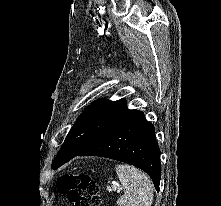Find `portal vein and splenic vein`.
<instances>
[{
	"mask_svg": "<svg viewBox=\"0 0 221 206\" xmlns=\"http://www.w3.org/2000/svg\"><path fill=\"white\" fill-rule=\"evenodd\" d=\"M121 189L119 187H117L116 185H112V189L111 191H120Z\"/></svg>",
	"mask_w": 221,
	"mask_h": 206,
	"instance_id": "portal-vein-and-splenic-vein-1",
	"label": "portal vein and splenic vein"
}]
</instances>
